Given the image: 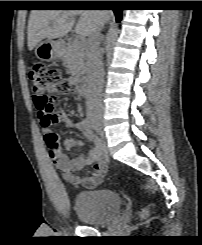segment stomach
Masks as SVG:
<instances>
[{
  "label": "stomach",
  "instance_id": "stomach-1",
  "mask_svg": "<svg viewBox=\"0 0 202 245\" xmlns=\"http://www.w3.org/2000/svg\"><path fill=\"white\" fill-rule=\"evenodd\" d=\"M35 55L41 61H52L60 55V46L57 41L45 40L35 47Z\"/></svg>",
  "mask_w": 202,
  "mask_h": 245
}]
</instances>
